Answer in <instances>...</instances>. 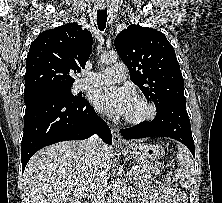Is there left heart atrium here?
<instances>
[{
  "mask_svg": "<svg viewBox=\"0 0 222 203\" xmlns=\"http://www.w3.org/2000/svg\"><path fill=\"white\" fill-rule=\"evenodd\" d=\"M93 105L112 116L126 115L132 101L128 89L117 86H102L91 93Z\"/></svg>",
  "mask_w": 222,
  "mask_h": 203,
  "instance_id": "1",
  "label": "left heart atrium"
}]
</instances>
